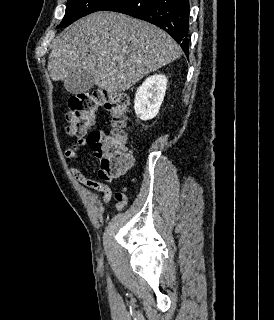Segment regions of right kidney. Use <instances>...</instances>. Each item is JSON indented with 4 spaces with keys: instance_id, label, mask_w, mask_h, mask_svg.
Wrapping results in <instances>:
<instances>
[{
    "instance_id": "ca27d5eb",
    "label": "right kidney",
    "mask_w": 274,
    "mask_h": 320,
    "mask_svg": "<svg viewBox=\"0 0 274 320\" xmlns=\"http://www.w3.org/2000/svg\"><path fill=\"white\" fill-rule=\"evenodd\" d=\"M167 90V80L162 74L149 76L135 94L134 110L140 120H152L159 114Z\"/></svg>"
}]
</instances>
